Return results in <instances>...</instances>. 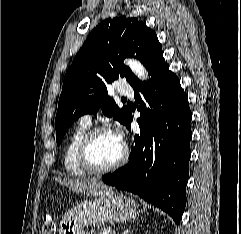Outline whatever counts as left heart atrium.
<instances>
[{"label": "left heart atrium", "instance_id": "obj_1", "mask_svg": "<svg viewBox=\"0 0 241 234\" xmlns=\"http://www.w3.org/2000/svg\"><path fill=\"white\" fill-rule=\"evenodd\" d=\"M112 134L120 143L124 144V135L120 127H117L114 131H112Z\"/></svg>", "mask_w": 241, "mask_h": 234}]
</instances>
